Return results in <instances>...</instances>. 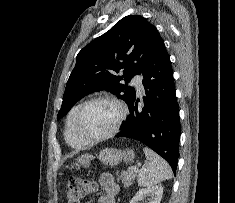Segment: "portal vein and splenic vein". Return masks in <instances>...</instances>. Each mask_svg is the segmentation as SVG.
<instances>
[{"label": "portal vein and splenic vein", "mask_w": 235, "mask_h": 203, "mask_svg": "<svg viewBox=\"0 0 235 203\" xmlns=\"http://www.w3.org/2000/svg\"><path fill=\"white\" fill-rule=\"evenodd\" d=\"M133 170L137 172V171H138V168H137L136 166H134V167H133Z\"/></svg>", "instance_id": "portal-vein-and-splenic-vein-1"}]
</instances>
